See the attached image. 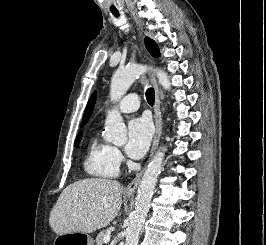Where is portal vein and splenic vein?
<instances>
[{
  "mask_svg": "<svg viewBox=\"0 0 266 245\" xmlns=\"http://www.w3.org/2000/svg\"><path fill=\"white\" fill-rule=\"evenodd\" d=\"M110 239H111V235H106V237H104L103 239V243H109Z\"/></svg>",
  "mask_w": 266,
  "mask_h": 245,
  "instance_id": "1",
  "label": "portal vein and splenic vein"
}]
</instances>
